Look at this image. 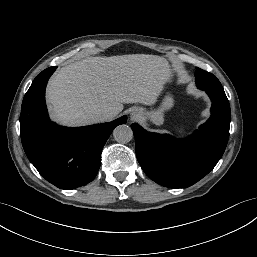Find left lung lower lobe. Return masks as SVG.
<instances>
[{
    "mask_svg": "<svg viewBox=\"0 0 257 257\" xmlns=\"http://www.w3.org/2000/svg\"><path fill=\"white\" fill-rule=\"evenodd\" d=\"M205 91L212 101L211 117L187 139L150 133L137 123L131 125L142 169L162 186L193 185L215 167L225 151L231 119L229 101L224 91Z\"/></svg>",
    "mask_w": 257,
    "mask_h": 257,
    "instance_id": "left-lung-lower-lobe-1",
    "label": "left lung lower lobe"
}]
</instances>
